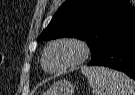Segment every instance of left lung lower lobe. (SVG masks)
<instances>
[{"label":"left lung lower lobe","instance_id":"left-lung-lower-lobe-1","mask_svg":"<svg viewBox=\"0 0 135 95\" xmlns=\"http://www.w3.org/2000/svg\"><path fill=\"white\" fill-rule=\"evenodd\" d=\"M88 65L122 71L135 80V22L105 37Z\"/></svg>","mask_w":135,"mask_h":95}]
</instances>
